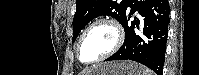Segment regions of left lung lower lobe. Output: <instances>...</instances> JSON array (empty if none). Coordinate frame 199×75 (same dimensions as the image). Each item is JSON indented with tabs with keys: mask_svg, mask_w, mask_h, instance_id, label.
<instances>
[{
	"mask_svg": "<svg viewBox=\"0 0 199 75\" xmlns=\"http://www.w3.org/2000/svg\"><path fill=\"white\" fill-rule=\"evenodd\" d=\"M128 8L130 12L127 10L121 22L125 29L124 44L105 61L133 60L162 75L170 22L168 0H131ZM135 11L141 19L135 17L128 24Z\"/></svg>",
	"mask_w": 199,
	"mask_h": 75,
	"instance_id": "1",
	"label": "left lung lower lobe"
}]
</instances>
